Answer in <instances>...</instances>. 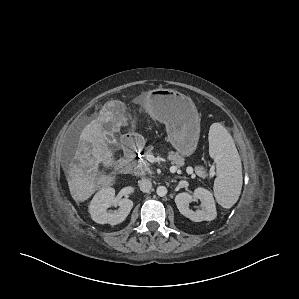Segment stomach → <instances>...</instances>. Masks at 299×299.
I'll use <instances>...</instances> for the list:
<instances>
[{
    "instance_id": "1",
    "label": "stomach",
    "mask_w": 299,
    "mask_h": 299,
    "mask_svg": "<svg viewBox=\"0 0 299 299\" xmlns=\"http://www.w3.org/2000/svg\"><path fill=\"white\" fill-rule=\"evenodd\" d=\"M141 107L154 120L166 126L168 140L183 157H189L197 148L200 136V117L191 98L166 88L145 92Z\"/></svg>"
}]
</instances>
